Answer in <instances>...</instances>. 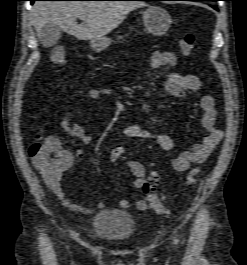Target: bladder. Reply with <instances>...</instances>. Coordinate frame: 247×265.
Here are the masks:
<instances>
[{"label": "bladder", "mask_w": 247, "mask_h": 265, "mask_svg": "<svg viewBox=\"0 0 247 265\" xmlns=\"http://www.w3.org/2000/svg\"><path fill=\"white\" fill-rule=\"evenodd\" d=\"M135 221L122 209H104L93 215L92 233L109 240H127L134 236Z\"/></svg>", "instance_id": "1"}]
</instances>
